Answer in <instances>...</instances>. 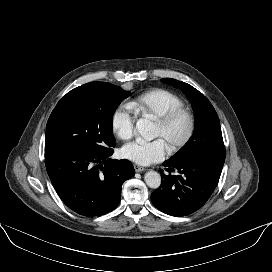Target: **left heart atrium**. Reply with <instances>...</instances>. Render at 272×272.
Listing matches in <instances>:
<instances>
[{"mask_svg": "<svg viewBox=\"0 0 272 272\" xmlns=\"http://www.w3.org/2000/svg\"><path fill=\"white\" fill-rule=\"evenodd\" d=\"M121 153L123 157L140 165L162 161L167 153V146L159 138L153 141L137 140L126 144Z\"/></svg>", "mask_w": 272, "mask_h": 272, "instance_id": "1", "label": "left heart atrium"}]
</instances>
